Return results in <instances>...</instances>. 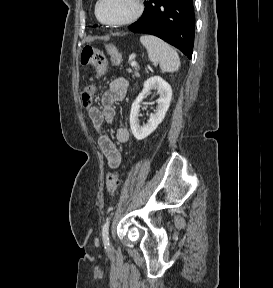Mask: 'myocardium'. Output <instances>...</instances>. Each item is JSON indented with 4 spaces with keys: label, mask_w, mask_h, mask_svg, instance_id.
Wrapping results in <instances>:
<instances>
[{
    "label": "myocardium",
    "mask_w": 273,
    "mask_h": 288,
    "mask_svg": "<svg viewBox=\"0 0 273 288\" xmlns=\"http://www.w3.org/2000/svg\"><path fill=\"white\" fill-rule=\"evenodd\" d=\"M103 0H98L95 6V15L99 22H101L103 25L109 26V27H118L123 25H128L136 20H138L144 13L145 10V3L144 0H135L136 8L135 11L128 17L118 20V21H112L107 22L104 21L100 16V6L102 4Z\"/></svg>",
    "instance_id": "myocardium-1"
}]
</instances>
